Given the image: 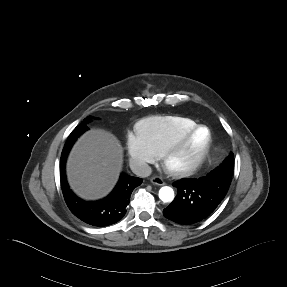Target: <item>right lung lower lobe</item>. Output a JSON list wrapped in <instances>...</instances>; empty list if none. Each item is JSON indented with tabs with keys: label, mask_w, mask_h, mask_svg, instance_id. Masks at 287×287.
I'll return each mask as SVG.
<instances>
[{
	"label": "right lung lower lobe",
	"mask_w": 287,
	"mask_h": 287,
	"mask_svg": "<svg viewBox=\"0 0 287 287\" xmlns=\"http://www.w3.org/2000/svg\"><path fill=\"white\" fill-rule=\"evenodd\" d=\"M87 125L76 127L68 137L60 160V179L64 199L70 211L80 220L95 227L112 225L126 213L132 191L142 183L141 178L122 174L114 190L104 199L84 201L70 189L66 175L65 164L67 155L76 139L86 130Z\"/></svg>",
	"instance_id": "right-lung-lower-lobe-1"
}]
</instances>
